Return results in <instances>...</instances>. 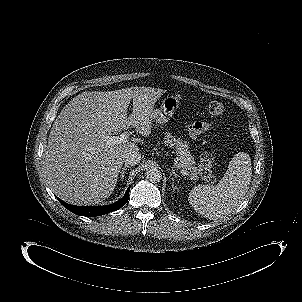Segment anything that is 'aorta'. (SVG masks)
Returning <instances> with one entry per match:
<instances>
[{
    "instance_id": "obj_1",
    "label": "aorta",
    "mask_w": 302,
    "mask_h": 302,
    "mask_svg": "<svg viewBox=\"0 0 302 302\" xmlns=\"http://www.w3.org/2000/svg\"><path fill=\"white\" fill-rule=\"evenodd\" d=\"M145 175L146 179L152 183L159 182L162 178L161 171L156 167H151L147 169Z\"/></svg>"
}]
</instances>
